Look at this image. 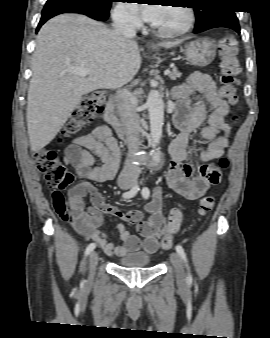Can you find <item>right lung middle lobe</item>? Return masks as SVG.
<instances>
[{"label": "right lung middle lobe", "mask_w": 270, "mask_h": 338, "mask_svg": "<svg viewBox=\"0 0 270 338\" xmlns=\"http://www.w3.org/2000/svg\"><path fill=\"white\" fill-rule=\"evenodd\" d=\"M114 1L115 0H47L45 6H55V5L86 6L109 11L111 3Z\"/></svg>", "instance_id": "dd1d6c3e"}]
</instances>
